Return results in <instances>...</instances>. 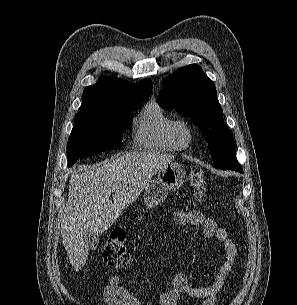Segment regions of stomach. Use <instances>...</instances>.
<instances>
[{
	"label": "stomach",
	"mask_w": 297,
	"mask_h": 305,
	"mask_svg": "<svg viewBox=\"0 0 297 305\" xmlns=\"http://www.w3.org/2000/svg\"><path fill=\"white\" fill-rule=\"evenodd\" d=\"M185 169L182 165L170 162L157 171V178L150 180L143 194L147 207H155L163 202L170 191L179 189L185 179Z\"/></svg>",
	"instance_id": "obj_1"
}]
</instances>
